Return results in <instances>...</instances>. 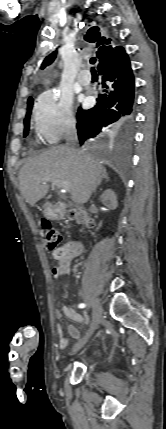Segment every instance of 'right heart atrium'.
I'll return each mask as SVG.
<instances>
[{
    "mask_svg": "<svg viewBox=\"0 0 166 429\" xmlns=\"http://www.w3.org/2000/svg\"><path fill=\"white\" fill-rule=\"evenodd\" d=\"M76 124L72 102L58 89L43 93L34 106L33 126L37 135L48 143H55L70 133Z\"/></svg>",
    "mask_w": 166,
    "mask_h": 429,
    "instance_id": "d8ad5b80",
    "label": "right heart atrium"
}]
</instances>
